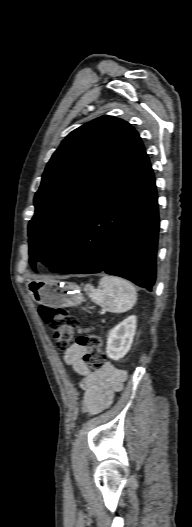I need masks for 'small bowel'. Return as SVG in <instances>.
Instances as JSON below:
<instances>
[{"label": "small bowel", "mask_w": 192, "mask_h": 527, "mask_svg": "<svg viewBox=\"0 0 192 527\" xmlns=\"http://www.w3.org/2000/svg\"><path fill=\"white\" fill-rule=\"evenodd\" d=\"M86 349L72 344L64 354V361L82 376L80 387L84 391L81 406L83 411L96 414L109 407L115 392L122 388L126 373L111 363L92 370L83 360Z\"/></svg>", "instance_id": "1"}]
</instances>
